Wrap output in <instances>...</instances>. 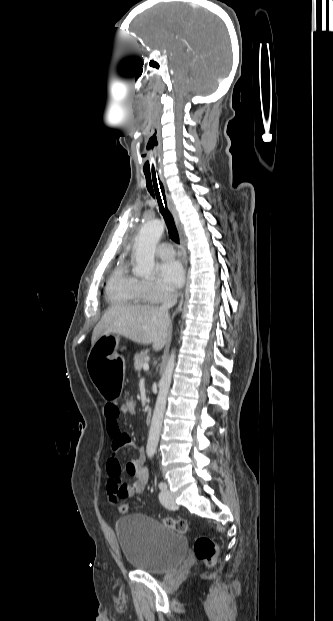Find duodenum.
Masks as SVG:
<instances>
[{"instance_id": "duodenum-1", "label": "duodenum", "mask_w": 333, "mask_h": 621, "mask_svg": "<svg viewBox=\"0 0 333 621\" xmlns=\"http://www.w3.org/2000/svg\"><path fill=\"white\" fill-rule=\"evenodd\" d=\"M151 420H152V410L148 409L147 412H146V422L150 423Z\"/></svg>"}]
</instances>
